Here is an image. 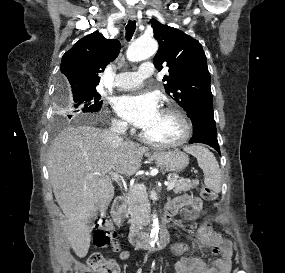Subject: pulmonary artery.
<instances>
[{
  "label": "pulmonary artery",
  "instance_id": "e3ab8cb5",
  "mask_svg": "<svg viewBox=\"0 0 285 273\" xmlns=\"http://www.w3.org/2000/svg\"><path fill=\"white\" fill-rule=\"evenodd\" d=\"M154 74V66L150 61L142 63L135 72L128 71L116 75L114 86L120 90L132 89Z\"/></svg>",
  "mask_w": 285,
  "mask_h": 273
}]
</instances>
